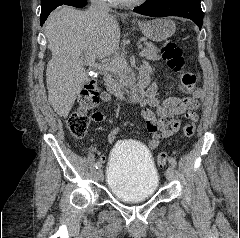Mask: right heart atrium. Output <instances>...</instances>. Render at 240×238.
I'll return each mask as SVG.
<instances>
[{
    "label": "right heart atrium",
    "instance_id": "right-heart-atrium-1",
    "mask_svg": "<svg viewBox=\"0 0 240 238\" xmlns=\"http://www.w3.org/2000/svg\"><path fill=\"white\" fill-rule=\"evenodd\" d=\"M104 1L113 2V1H115V0H104Z\"/></svg>",
    "mask_w": 240,
    "mask_h": 238
}]
</instances>
